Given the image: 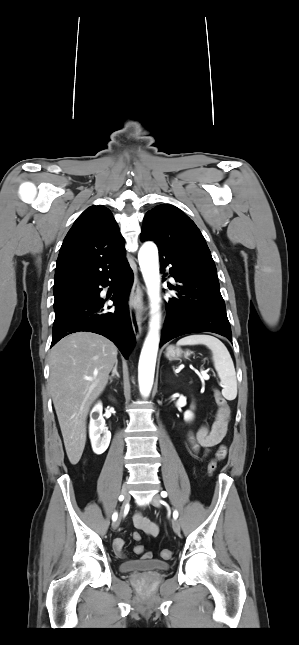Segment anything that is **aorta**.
Wrapping results in <instances>:
<instances>
[{
	"label": "aorta",
	"mask_w": 299,
	"mask_h": 645,
	"mask_svg": "<svg viewBox=\"0 0 299 645\" xmlns=\"http://www.w3.org/2000/svg\"><path fill=\"white\" fill-rule=\"evenodd\" d=\"M139 265L147 286L151 305L150 329L145 339L138 366L140 392L147 397L154 381L155 364L159 346L160 329V275L158 249L153 242H146L138 253Z\"/></svg>",
	"instance_id": "1"
}]
</instances>
